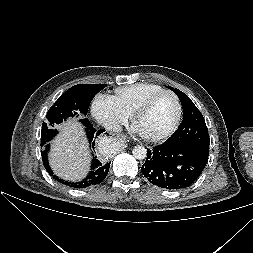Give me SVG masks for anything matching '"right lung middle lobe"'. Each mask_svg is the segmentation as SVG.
I'll return each instance as SVG.
<instances>
[{
	"label": "right lung middle lobe",
	"mask_w": 253,
	"mask_h": 253,
	"mask_svg": "<svg viewBox=\"0 0 253 253\" xmlns=\"http://www.w3.org/2000/svg\"><path fill=\"white\" fill-rule=\"evenodd\" d=\"M105 86L106 84H78L62 94L49 109L47 119L42 124L41 145L47 144L57 134V124L80 113L86 115L90 102ZM81 121L88 124L87 119Z\"/></svg>",
	"instance_id": "dd1d6c3e"
}]
</instances>
